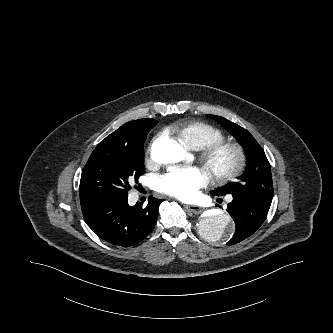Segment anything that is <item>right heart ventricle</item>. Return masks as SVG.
Wrapping results in <instances>:
<instances>
[{
    "label": "right heart ventricle",
    "mask_w": 333,
    "mask_h": 333,
    "mask_svg": "<svg viewBox=\"0 0 333 333\" xmlns=\"http://www.w3.org/2000/svg\"><path fill=\"white\" fill-rule=\"evenodd\" d=\"M172 129L180 143L190 149H202L225 139L220 129L204 122L179 121Z\"/></svg>",
    "instance_id": "right-heart-ventricle-1"
}]
</instances>
